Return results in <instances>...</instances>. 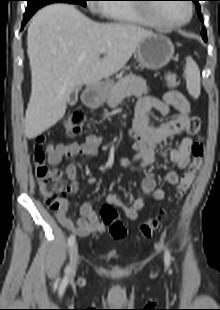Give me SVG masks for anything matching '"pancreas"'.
Returning <instances> with one entry per match:
<instances>
[{
    "instance_id": "obj_1",
    "label": "pancreas",
    "mask_w": 220,
    "mask_h": 310,
    "mask_svg": "<svg viewBox=\"0 0 220 310\" xmlns=\"http://www.w3.org/2000/svg\"><path fill=\"white\" fill-rule=\"evenodd\" d=\"M148 93L146 81L135 75H127L120 78L118 82L112 86L107 95V104L111 108H115L126 97L141 96Z\"/></svg>"
}]
</instances>
